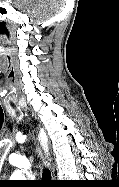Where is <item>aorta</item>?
<instances>
[{"mask_svg": "<svg viewBox=\"0 0 119 187\" xmlns=\"http://www.w3.org/2000/svg\"><path fill=\"white\" fill-rule=\"evenodd\" d=\"M11 178L16 179V180H21V178H23L22 171L16 170V171L12 174Z\"/></svg>", "mask_w": 119, "mask_h": 187, "instance_id": "762f6f07", "label": "aorta"}]
</instances>
